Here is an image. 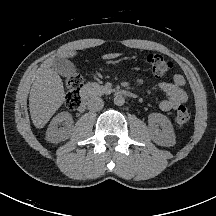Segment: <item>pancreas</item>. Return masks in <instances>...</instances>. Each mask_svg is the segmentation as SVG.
<instances>
[{"label":"pancreas","mask_w":216,"mask_h":216,"mask_svg":"<svg viewBox=\"0 0 216 216\" xmlns=\"http://www.w3.org/2000/svg\"><path fill=\"white\" fill-rule=\"evenodd\" d=\"M86 87L89 90L90 94L94 96H97V95L100 96V95L108 94L112 92L111 89H108L105 86H100L97 83H88Z\"/></svg>","instance_id":"1"}]
</instances>
